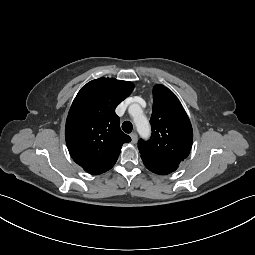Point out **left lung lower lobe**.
Instances as JSON below:
<instances>
[{
	"instance_id": "0a47b994",
	"label": "left lung lower lobe",
	"mask_w": 255,
	"mask_h": 255,
	"mask_svg": "<svg viewBox=\"0 0 255 255\" xmlns=\"http://www.w3.org/2000/svg\"><path fill=\"white\" fill-rule=\"evenodd\" d=\"M144 165L146 166L147 169H149L153 173L160 174V175H167L176 170V169H160V168L149 166L147 164H144Z\"/></svg>"
}]
</instances>
